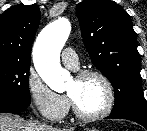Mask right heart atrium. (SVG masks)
Wrapping results in <instances>:
<instances>
[{"label":"right heart atrium","mask_w":147,"mask_h":131,"mask_svg":"<svg viewBox=\"0 0 147 131\" xmlns=\"http://www.w3.org/2000/svg\"><path fill=\"white\" fill-rule=\"evenodd\" d=\"M27 90L37 112L51 122L62 120L68 113L69 99L52 90L33 70L28 74Z\"/></svg>","instance_id":"right-heart-atrium-1"}]
</instances>
